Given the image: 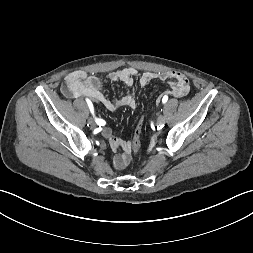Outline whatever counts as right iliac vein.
Returning <instances> with one entry per match:
<instances>
[{
	"label": "right iliac vein",
	"instance_id": "1",
	"mask_svg": "<svg viewBox=\"0 0 253 253\" xmlns=\"http://www.w3.org/2000/svg\"><path fill=\"white\" fill-rule=\"evenodd\" d=\"M88 125L91 127V128H94L96 126V122L93 120V119H89L88 120Z\"/></svg>",
	"mask_w": 253,
	"mask_h": 253
}]
</instances>
